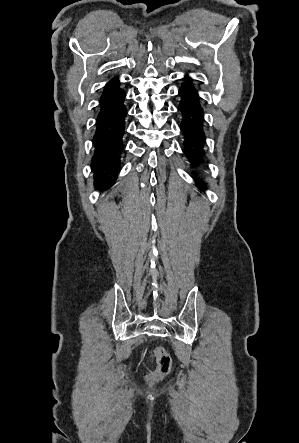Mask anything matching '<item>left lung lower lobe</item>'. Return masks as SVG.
I'll return each instance as SVG.
<instances>
[{
	"mask_svg": "<svg viewBox=\"0 0 299 443\" xmlns=\"http://www.w3.org/2000/svg\"><path fill=\"white\" fill-rule=\"evenodd\" d=\"M186 82L183 83L179 90L181 101L179 109L182 112L181 130L185 136L186 149L184 153L192 166L198 167L204 162V143L205 134L203 131V113L198 102L197 90L191 83V78L185 77ZM196 184L200 190L206 189V184L198 178H195Z\"/></svg>",
	"mask_w": 299,
	"mask_h": 443,
	"instance_id": "0a47b994",
	"label": "left lung lower lobe"
}]
</instances>
